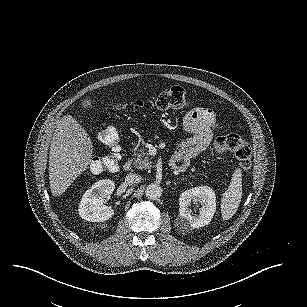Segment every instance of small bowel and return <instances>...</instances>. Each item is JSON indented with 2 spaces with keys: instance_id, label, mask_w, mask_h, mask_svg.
Returning a JSON list of instances; mask_svg holds the SVG:
<instances>
[{
  "instance_id": "obj_1",
  "label": "small bowel",
  "mask_w": 307,
  "mask_h": 307,
  "mask_svg": "<svg viewBox=\"0 0 307 307\" xmlns=\"http://www.w3.org/2000/svg\"><path fill=\"white\" fill-rule=\"evenodd\" d=\"M183 125L191 136L178 145L172 158L171 163L178 170H184L190 159L202 153L209 146L218 123L212 110L197 107L185 115Z\"/></svg>"
}]
</instances>
